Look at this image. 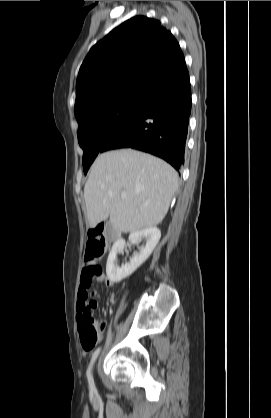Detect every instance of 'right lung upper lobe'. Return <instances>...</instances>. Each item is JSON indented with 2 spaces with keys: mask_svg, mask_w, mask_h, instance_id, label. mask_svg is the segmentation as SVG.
Instances as JSON below:
<instances>
[{
  "mask_svg": "<svg viewBox=\"0 0 271 418\" xmlns=\"http://www.w3.org/2000/svg\"><path fill=\"white\" fill-rule=\"evenodd\" d=\"M185 68L179 43L160 22L133 17L96 43L80 67L75 114L121 94L152 98Z\"/></svg>",
  "mask_w": 271,
  "mask_h": 418,
  "instance_id": "cb5924a9",
  "label": "right lung upper lobe"
}]
</instances>
